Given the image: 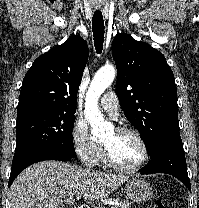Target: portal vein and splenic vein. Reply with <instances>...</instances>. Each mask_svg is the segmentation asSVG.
I'll use <instances>...</instances> for the list:
<instances>
[{"label":"portal vein and splenic vein","instance_id":"portal-vein-and-splenic-vein-1","mask_svg":"<svg viewBox=\"0 0 199 208\" xmlns=\"http://www.w3.org/2000/svg\"><path fill=\"white\" fill-rule=\"evenodd\" d=\"M74 202H75L74 198H69L66 200V203H69V204H74ZM112 208H116V207H112Z\"/></svg>","mask_w":199,"mask_h":208}]
</instances>
